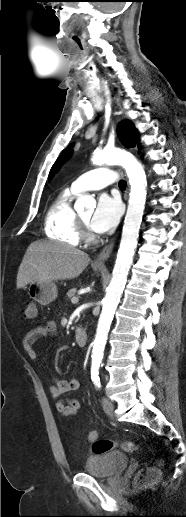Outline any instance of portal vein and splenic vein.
<instances>
[{"label":"portal vein and splenic vein","instance_id":"portal-vein-and-splenic-vein-1","mask_svg":"<svg viewBox=\"0 0 186 517\" xmlns=\"http://www.w3.org/2000/svg\"><path fill=\"white\" fill-rule=\"evenodd\" d=\"M78 301H79L78 297H73V298L71 299V302H72L73 304H77V303H78Z\"/></svg>","mask_w":186,"mask_h":517}]
</instances>
